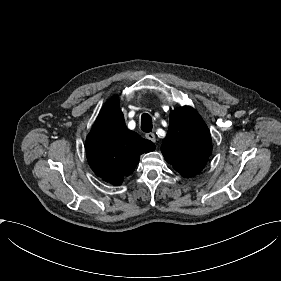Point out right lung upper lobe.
I'll return each mask as SVG.
<instances>
[{
	"label": "right lung upper lobe",
	"instance_id": "1",
	"mask_svg": "<svg viewBox=\"0 0 281 281\" xmlns=\"http://www.w3.org/2000/svg\"><path fill=\"white\" fill-rule=\"evenodd\" d=\"M85 147L91 169L112 185L122 184L139 163L140 155L155 149L154 143L126 127L117 97L100 111Z\"/></svg>",
	"mask_w": 281,
	"mask_h": 281
}]
</instances>
